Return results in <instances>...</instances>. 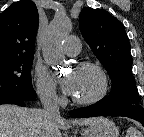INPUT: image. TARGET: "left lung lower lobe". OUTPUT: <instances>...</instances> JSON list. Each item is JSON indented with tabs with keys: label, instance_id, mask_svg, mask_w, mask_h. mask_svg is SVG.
<instances>
[{
	"label": "left lung lower lobe",
	"instance_id": "1",
	"mask_svg": "<svg viewBox=\"0 0 144 137\" xmlns=\"http://www.w3.org/2000/svg\"><path fill=\"white\" fill-rule=\"evenodd\" d=\"M72 117H95V116H124L139 121L144 126V109L139 105L116 104L106 105L99 101L88 107L75 109L70 112Z\"/></svg>",
	"mask_w": 144,
	"mask_h": 137
}]
</instances>
